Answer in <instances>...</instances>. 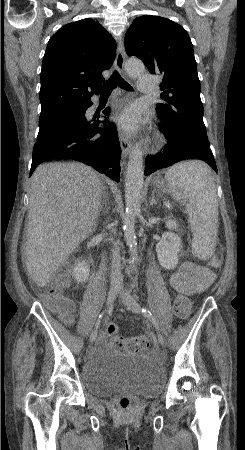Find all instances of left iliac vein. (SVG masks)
Instances as JSON below:
<instances>
[{
    "instance_id": "left-iliac-vein-1",
    "label": "left iliac vein",
    "mask_w": 245,
    "mask_h": 450,
    "mask_svg": "<svg viewBox=\"0 0 245 450\" xmlns=\"http://www.w3.org/2000/svg\"><path fill=\"white\" fill-rule=\"evenodd\" d=\"M120 295L122 296V300L124 305L136 314L141 313V307L136 301V299L129 293L124 290V287L121 286L119 290ZM158 341L161 345H165L166 341L162 334H158Z\"/></svg>"
}]
</instances>
